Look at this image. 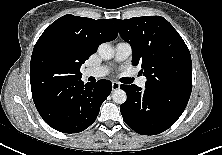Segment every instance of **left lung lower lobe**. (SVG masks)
<instances>
[{"mask_svg": "<svg viewBox=\"0 0 222 155\" xmlns=\"http://www.w3.org/2000/svg\"><path fill=\"white\" fill-rule=\"evenodd\" d=\"M127 100L120 105L125 123L135 132L156 135L170 128L181 116L188 100L136 85H121Z\"/></svg>", "mask_w": 222, "mask_h": 155, "instance_id": "obj_1", "label": "left lung lower lobe"}]
</instances>
